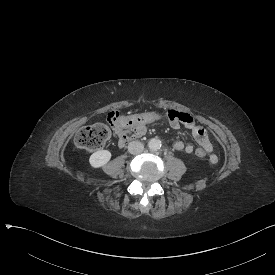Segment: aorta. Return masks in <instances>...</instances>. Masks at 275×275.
I'll return each instance as SVG.
<instances>
[{
  "label": "aorta",
  "mask_w": 275,
  "mask_h": 275,
  "mask_svg": "<svg viewBox=\"0 0 275 275\" xmlns=\"http://www.w3.org/2000/svg\"><path fill=\"white\" fill-rule=\"evenodd\" d=\"M148 147L151 151H157L161 148V141L159 139L152 138L148 143Z\"/></svg>",
  "instance_id": "obj_1"
}]
</instances>
